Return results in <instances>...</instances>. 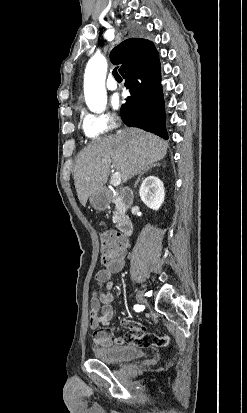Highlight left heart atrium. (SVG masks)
Listing matches in <instances>:
<instances>
[{
    "mask_svg": "<svg viewBox=\"0 0 247 413\" xmlns=\"http://www.w3.org/2000/svg\"><path fill=\"white\" fill-rule=\"evenodd\" d=\"M121 103H122V100L118 95H115L111 98V104L114 108L120 107Z\"/></svg>",
    "mask_w": 247,
    "mask_h": 413,
    "instance_id": "1",
    "label": "left heart atrium"
}]
</instances>
